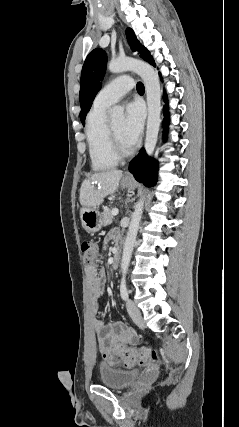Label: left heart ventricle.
I'll use <instances>...</instances> for the list:
<instances>
[{
  "label": "left heart ventricle",
  "instance_id": "b2bd125f",
  "mask_svg": "<svg viewBox=\"0 0 239 427\" xmlns=\"http://www.w3.org/2000/svg\"><path fill=\"white\" fill-rule=\"evenodd\" d=\"M111 127L114 130L121 145L126 149L130 148L131 146L124 140L122 135L123 121L122 120L115 121L111 123Z\"/></svg>",
  "mask_w": 239,
  "mask_h": 427
}]
</instances>
